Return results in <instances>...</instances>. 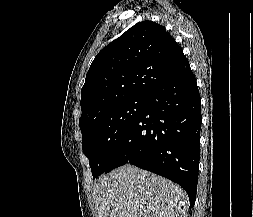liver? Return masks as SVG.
<instances>
[{
	"mask_svg": "<svg viewBox=\"0 0 253 217\" xmlns=\"http://www.w3.org/2000/svg\"><path fill=\"white\" fill-rule=\"evenodd\" d=\"M96 217H187V194L170 180L126 164L93 186Z\"/></svg>",
	"mask_w": 253,
	"mask_h": 217,
	"instance_id": "1",
	"label": "liver"
}]
</instances>
